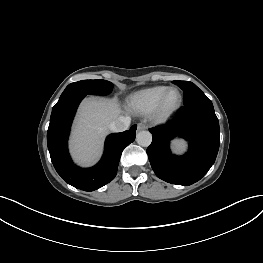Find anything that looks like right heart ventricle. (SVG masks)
<instances>
[{"label":"right heart ventricle","mask_w":263,"mask_h":263,"mask_svg":"<svg viewBox=\"0 0 263 263\" xmlns=\"http://www.w3.org/2000/svg\"><path fill=\"white\" fill-rule=\"evenodd\" d=\"M167 89L166 86H154L134 92L127 101L129 110L140 115L152 113Z\"/></svg>","instance_id":"1"}]
</instances>
